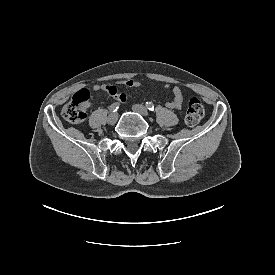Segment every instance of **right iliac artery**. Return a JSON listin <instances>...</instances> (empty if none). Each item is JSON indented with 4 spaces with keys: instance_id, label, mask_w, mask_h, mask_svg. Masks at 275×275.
<instances>
[{
    "instance_id": "obj_1",
    "label": "right iliac artery",
    "mask_w": 275,
    "mask_h": 275,
    "mask_svg": "<svg viewBox=\"0 0 275 275\" xmlns=\"http://www.w3.org/2000/svg\"><path fill=\"white\" fill-rule=\"evenodd\" d=\"M119 106H120V103L115 102L110 106L109 110L114 113L118 110Z\"/></svg>"
}]
</instances>
